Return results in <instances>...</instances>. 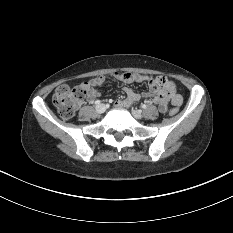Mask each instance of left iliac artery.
Wrapping results in <instances>:
<instances>
[{
	"instance_id": "44dca946",
	"label": "left iliac artery",
	"mask_w": 233,
	"mask_h": 233,
	"mask_svg": "<svg viewBox=\"0 0 233 233\" xmlns=\"http://www.w3.org/2000/svg\"><path fill=\"white\" fill-rule=\"evenodd\" d=\"M141 107L145 109L147 106L145 104H142Z\"/></svg>"
}]
</instances>
